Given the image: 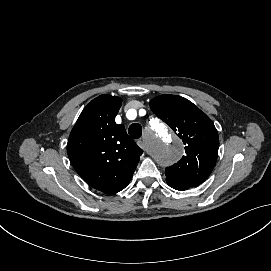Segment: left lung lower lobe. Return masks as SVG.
Returning <instances> with one entry per match:
<instances>
[{"label": "left lung lower lobe", "mask_w": 271, "mask_h": 271, "mask_svg": "<svg viewBox=\"0 0 271 271\" xmlns=\"http://www.w3.org/2000/svg\"><path fill=\"white\" fill-rule=\"evenodd\" d=\"M166 181H167V184L170 187H173L174 189L179 190V191H184V190H188L190 188H193L191 186H188V185H185V184H182V183H179V182H175V181H172V180H169V179H166Z\"/></svg>", "instance_id": "1"}]
</instances>
